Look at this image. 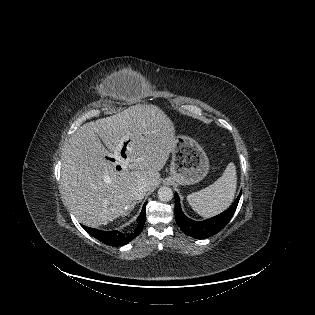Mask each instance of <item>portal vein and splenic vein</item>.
<instances>
[{
    "label": "portal vein and splenic vein",
    "mask_w": 315,
    "mask_h": 315,
    "mask_svg": "<svg viewBox=\"0 0 315 315\" xmlns=\"http://www.w3.org/2000/svg\"><path fill=\"white\" fill-rule=\"evenodd\" d=\"M115 156H117V155H115ZM123 168L126 169V165H123Z\"/></svg>",
    "instance_id": "obj_1"
}]
</instances>
